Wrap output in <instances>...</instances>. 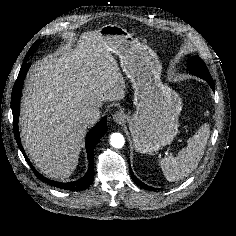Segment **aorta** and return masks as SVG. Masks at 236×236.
<instances>
[{
    "instance_id": "762f6f07",
    "label": "aorta",
    "mask_w": 236,
    "mask_h": 236,
    "mask_svg": "<svg viewBox=\"0 0 236 236\" xmlns=\"http://www.w3.org/2000/svg\"><path fill=\"white\" fill-rule=\"evenodd\" d=\"M125 139L121 133H113L110 136V144L114 148H122L124 146Z\"/></svg>"
}]
</instances>
